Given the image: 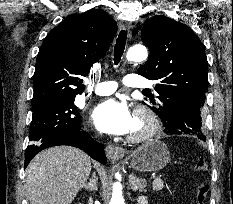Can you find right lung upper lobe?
I'll list each match as a JSON object with an SVG mask.
<instances>
[{"instance_id": "cb5924a9", "label": "right lung upper lobe", "mask_w": 233, "mask_h": 204, "mask_svg": "<svg viewBox=\"0 0 233 204\" xmlns=\"http://www.w3.org/2000/svg\"><path fill=\"white\" fill-rule=\"evenodd\" d=\"M116 32V22L101 9L69 16L53 28L37 55L32 104L83 93L81 77L106 53Z\"/></svg>"}]
</instances>
